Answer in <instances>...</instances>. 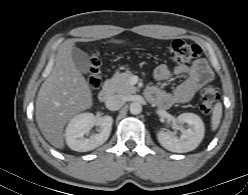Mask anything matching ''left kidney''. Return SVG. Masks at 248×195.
<instances>
[{"label": "left kidney", "mask_w": 248, "mask_h": 195, "mask_svg": "<svg viewBox=\"0 0 248 195\" xmlns=\"http://www.w3.org/2000/svg\"><path fill=\"white\" fill-rule=\"evenodd\" d=\"M178 124H188V128L181 129L180 137L171 131H159L157 139L161 146L171 152L185 153L198 147L204 137V123L194 113H183L177 117Z\"/></svg>", "instance_id": "5707ae66"}]
</instances>
